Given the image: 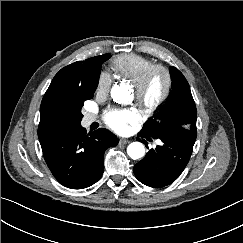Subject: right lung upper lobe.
Masks as SVG:
<instances>
[{
  "label": "right lung upper lobe",
  "mask_w": 243,
  "mask_h": 243,
  "mask_svg": "<svg viewBox=\"0 0 243 243\" xmlns=\"http://www.w3.org/2000/svg\"><path fill=\"white\" fill-rule=\"evenodd\" d=\"M104 55L92 57L85 61L74 62L62 68L53 78L40 106V123L38 129L59 126L52 114L55 103L76 92L96 89L100 75V61Z\"/></svg>",
  "instance_id": "cb5924a9"
}]
</instances>
